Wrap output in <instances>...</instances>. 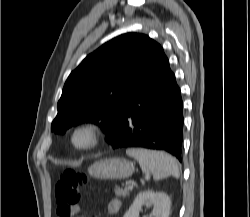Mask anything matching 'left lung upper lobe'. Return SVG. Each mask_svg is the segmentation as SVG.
I'll return each instance as SVG.
<instances>
[{"mask_svg": "<svg viewBox=\"0 0 250 217\" xmlns=\"http://www.w3.org/2000/svg\"><path fill=\"white\" fill-rule=\"evenodd\" d=\"M160 50L148 36L127 33L89 54L66 80L51 130L64 134L71 126L92 122L109 140L120 113Z\"/></svg>", "mask_w": 250, "mask_h": 217, "instance_id": "left-lung-upper-lobe-1", "label": "left lung upper lobe"}]
</instances>
